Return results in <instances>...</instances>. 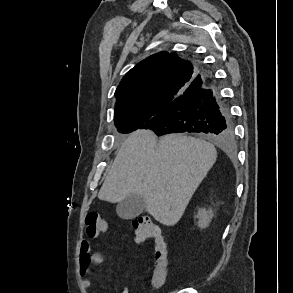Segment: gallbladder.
<instances>
[{"label": "gallbladder", "mask_w": 293, "mask_h": 293, "mask_svg": "<svg viewBox=\"0 0 293 293\" xmlns=\"http://www.w3.org/2000/svg\"><path fill=\"white\" fill-rule=\"evenodd\" d=\"M146 208V202L141 195L131 194L118 203L116 211L125 220L139 216Z\"/></svg>", "instance_id": "1"}]
</instances>
